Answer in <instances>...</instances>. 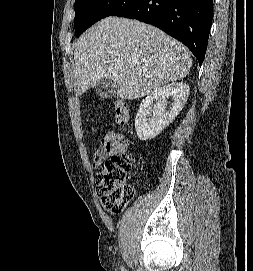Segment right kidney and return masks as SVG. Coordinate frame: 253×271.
<instances>
[{
  "instance_id": "right-kidney-1",
  "label": "right kidney",
  "mask_w": 253,
  "mask_h": 271,
  "mask_svg": "<svg viewBox=\"0 0 253 271\" xmlns=\"http://www.w3.org/2000/svg\"><path fill=\"white\" fill-rule=\"evenodd\" d=\"M189 93V86L183 82L170 83L151 92L141 102L136 114L135 130L138 138L146 141L160 134L182 110ZM168 98H172L173 102L166 110Z\"/></svg>"
}]
</instances>
